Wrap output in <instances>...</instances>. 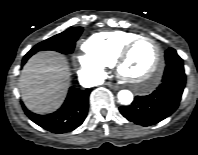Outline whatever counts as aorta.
Returning a JSON list of instances; mask_svg holds the SVG:
<instances>
[{
    "label": "aorta",
    "mask_w": 198,
    "mask_h": 155,
    "mask_svg": "<svg viewBox=\"0 0 198 155\" xmlns=\"http://www.w3.org/2000/svg\"><path fill=\"white\" fill-rule=\"evenodd\" d=\"M118 101L123 105H129L133 101V94L129 90L118 92Z\"/></svg>",
    "instance_id": "762f6f07"
}]
</instances>
